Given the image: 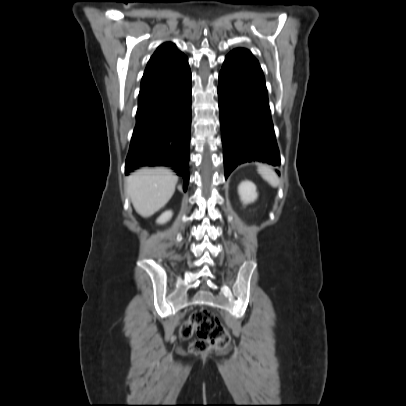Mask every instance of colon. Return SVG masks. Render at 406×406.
Returning a JSON list of instances; mask_svg holds the SVG:
<instances>
[{
  "mask_svg": "<svg viewBox=\"0 0 406 406\" xmlns=\"http://www.w3.org/2000/svg\"><path fill=\"white\" fill-rule=\"evenodd\" d=\"M196 332L198 338L192 343V350L205 352L210 349H226L230 337L217 316L210 310L201 309L194 312L180 328V336L189 339Z\"/></svg>",
  "mask_w": 406,
  "mask_h": 406,
  "instance_id": "obj_1",
  "label": "colon"
}]
</instances>
